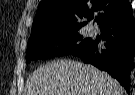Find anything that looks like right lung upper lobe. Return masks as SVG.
Returning a JSON list of instances; mask_svg holds the SVG:
<instances>
[{
    "label": "right lung upper lobe",
    "mask_w": 135,
    "mask_h": 95,
    "mask_svg": "<svg viewBox=\"0 0 135 95\" xmlns=\"http://www.w3.org/2000/svg\"><path fill=\"white\" fill-rule=\"evenodd\" d=\"M132 7L128 0H42L32 27V32L77 31L88 18L98 11L97 24L119 20L130 15Z\"/></svg>",
    "instance_id": "1"
}]
</instances>
